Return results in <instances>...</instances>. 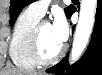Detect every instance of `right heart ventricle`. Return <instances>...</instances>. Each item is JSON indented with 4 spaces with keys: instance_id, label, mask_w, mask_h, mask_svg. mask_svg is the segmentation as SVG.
<instances>
[{
    "instance_id": "e07e8e85",
    "label": "right heart ventricle",
    "mask_w": 102,
    "mask_h": 75,
    "mask_svg": "<svg viewBox=\"0 0 102 75\" xmlns=\"http://www.w3.org/2000/svg\"><path fill=\"white\" fill-rule=\"evenodd\" d=\"M40 19V16L27 8L19 14L16 20L10 40V56L14 64L20 68L31 69L36 66L28 45L32 31Z\"/></svg>"
}]
</instances>
